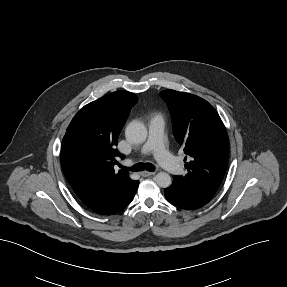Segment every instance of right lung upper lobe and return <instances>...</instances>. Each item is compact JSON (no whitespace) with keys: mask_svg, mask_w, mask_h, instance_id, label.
Masks as SVG:
<instances>
[{"mask_svg":"<svg viewBox=\"0 0 287 287\" xmlns=\"http://www.w3.org/2000/svg\"><path fill=\"white\" fill-rule=\"evenodd\" d=\"M137 101L131 92L116 91L85 105L71 121L64 137L76 143L78 153L62 147L61 164L76 195L131 180L128 172L116 173L113 167L124 158L117 139Z\"/></svg>","mask_w":287,"mask_h":287,"instance_id":"right-lung-upper-lobe-1","label":"right lung upper lobe"}]
</instances>
